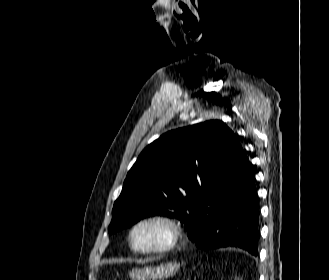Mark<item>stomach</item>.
I'll return each instance as SVG.
<instances>
[{"label":"stomach","instance_id":"1","mask_svg":"<svg viewBox=\"0 0 329 280\" xmlns=\"http://www.w3.org/2000/svg\"><path fill=\"white\" fill-rule=\"evenodd\" d=\"M180 269L179 263H166L157 267L135 268L129 272L132 280H158L173 276Z\"/></svg>","mask_w":329,"mask_h":280}]
</instances>
